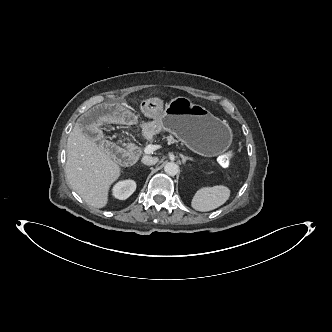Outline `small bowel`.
<instances>
[{"instance_id": "obj_1", "label": "small bowel", "mask_w": 332, "mask_h": 332, "mask_svg": "<svg viewBox=\"0 0 332 332\" xmlns=\"http://www.w3.org/2000/svg\"><path fill=\"white\" fill-rule=\"evenodd\" d=\"M164 103L160 99H145L140 103V109L148 113L152 119L161 116ZM106 123L115 127L125 125L134 127L138 123V118L123 106H117L114 103L96 102L89 111L83 112L78 118V126L82 130L83 137L89 142L98 141L103 135L101 124Z\"/></svg>"}]
</instances>
